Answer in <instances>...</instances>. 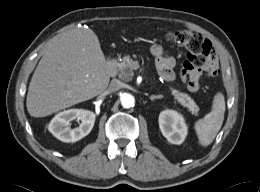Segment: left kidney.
Segmentation results:
<instances>
[{
    "label": "left kidney",
    "instance_id": "5707ae66",
    "mask_svg": "<svg viewBox=\"0 0 260 192\" xmlns=\"http://www.w3.org/2000/svg\"><path fill=\"white\" fill-rule=\"evenodd\" d=\"M159 128L163 136L172 144L180 145L187 136V125L181 114L174 110H164L159 115Z\"/></svg>",
    "mask_w": 260,
    "mask_h": 192
}]
</instances>
